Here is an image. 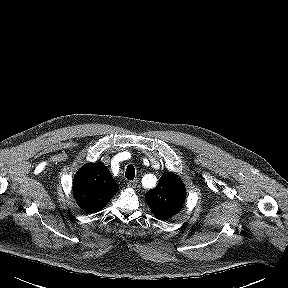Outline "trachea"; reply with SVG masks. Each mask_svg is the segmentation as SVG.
Listing matches in <instances>:
<instances>
[{
	"mask_svg": "<svg viewBox=\"0 0 288 288\" xmlns=\"http://www.w3.org/2000/svg\"><path fill=\"white\" fill-rule=\"evenodd\" d=\"M125 177L128 180H133L135 177V168L133 167V165H129L127 166L126 172H125Z\"/></svg>",
	"mask_w": 288,
	"mask_h": 288,
	"instance_id": "obj_1",
	"label": "trachea"
}]
</instances>
